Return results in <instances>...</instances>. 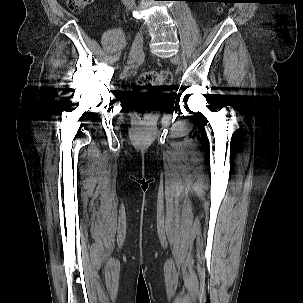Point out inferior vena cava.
I'll return each mask as SVG.
<instances>
[{
	"label": "inferior vena cava",
	"mask_w": 303,
	"mask_h": 303,
	"mask_svg": "<svg viewBox=\"0 0 303 303\" xmlns=\"http://www.w3.org/2000/svg\"><path fill=\"white\" fill-rule=\"evenodd\" d=\"M121 1L129 9H133V7L135 6V0H121Z\"/></svg>",
	"instance_id": "602c4592"
}]
</instances>
